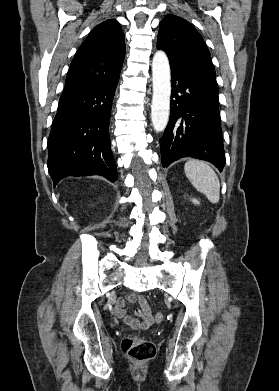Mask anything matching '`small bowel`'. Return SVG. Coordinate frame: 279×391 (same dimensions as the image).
<instances>
[{
  "mask_svg": "<svg viewBox=\"0 0 279 391\" xmlns=\"http://www.w3.org/2000/svg\"><path fill=\"white\" fill-rule=\"evenodd\" d=\"M126 302L137 303L139 305L135 314L140 319L127 315L124 309ZM114 313L125 324L134 329H148L153 324V316L149 304L142 296L137 294H128L124 298H120L116 303Z\"/></svg>",
  "mask_w": 279,
  "mask_h": 391,
  "instance_id": "c3829d8e",
  "label": "small bowel"
}]
</instances>
